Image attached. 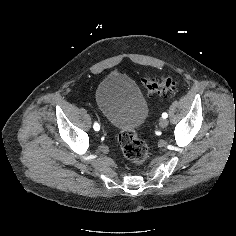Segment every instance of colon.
Returning <instances> with one entry per match:
<instances>
[{
    "label": "colon",
    "mask_w": 236,
    "mask_h": 236,
    "mask_svg": "<svg viewBox=\"0 0 236 236\" xmlns=\"http://www.w3.org/2000/svg\"><path fill=\"white\" fill-rule=\"evenodd\" d=\"M143 87L149 92L164 95L175 89V81L171 77L153 78L143 77ZM118 141L124 156L133 164L141 165L148 157V146L140 140L135 130L121 131Z\"/></svg>",
    "instance_id": "obj_1"
}]
</instances>
